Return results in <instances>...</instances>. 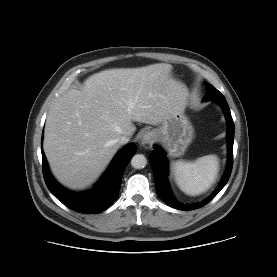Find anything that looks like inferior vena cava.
<instances>
[{"mask_svg":"<svg viewBox=\"0 0 277 277\" xmlns=\"http://www.w3.org/2000/svg\"><path fill=\"white\" fill-rule=\"evenodd\" d=\"M129 140H130V137H128L127 135H122L117 139L119 144H126L128 143Z\"/></svg>","mask_w":277,"mask_h":277,"instance_id":"obj_1","label":"inferior vena cava"}]
</instances>
